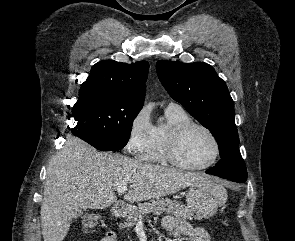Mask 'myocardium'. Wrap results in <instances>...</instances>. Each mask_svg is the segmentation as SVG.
<instances>
[{
	"mask_svg": "<svg viewBox=\"0 0 295 241\" xmlns=\"http://www.w3.org/2000/svg\"><path fill=\"white\" fill-rule=\"evenodd\" d=\"M192 128H198L203 130L211 138L214 144L215 151H214L213 157L211 158L210 161L202 165L187 164L183 162L182 160H180V158L177 155V147L180 142V139L187 131H189ZM163 153H164L165 159L176 167H179L185 170H190V171H201L211 167L218 161L221 154V146L217 136L214 134V132L210 128H208L207 126L199 122L188 121V122L180 123L173 126L167 132L165 141H164Z\"/></svg>",
	"mask_w": 295,
	"mask_h": 241,
	"instance_id": "1",
	"label": "myocardium"
}]
</instances>
